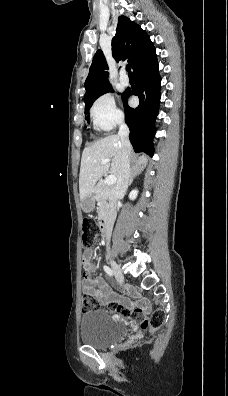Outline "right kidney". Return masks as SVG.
I'll return each mask as SVG.
<instances>
[{"label": "right kidney", "mask_w": 228, "mask_h": 396, "mask_svg": "<svg viewBox=\"0 0 228 396\" xmlns=\"http://www.w3.org/2000/svg\"><path fill=\"white\" fill-rule=\"evenodd\" d=\"M137 194H138V191L135 189V190H132L131 192H130V194H129V198L131 199V200H134L136 197H137Z\"/></svg>", "instance_id": "right-kidney-1"}]
</instances>
